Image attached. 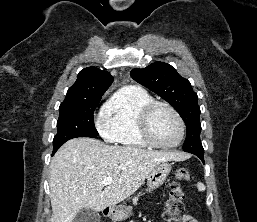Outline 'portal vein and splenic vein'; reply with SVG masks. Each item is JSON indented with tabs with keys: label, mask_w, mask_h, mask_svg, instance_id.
<instances>
[{
	"label": "portal vein and splenic vein",
	"mask_w": 257,
	"mask_h": 222,
	"mask_svg": "<svg viewBox=\"0 0 257 222\" xmlns=\"http://www.w3.org/2000/svg\"><path fill=\"white\" fill-rule=\"evenodd\" d=\"M113 182V178L112 177H106L104 178L100 184L102 185H110Z\"/></svg>",
	"instance_id": "obj_1"
}]
</instances>
